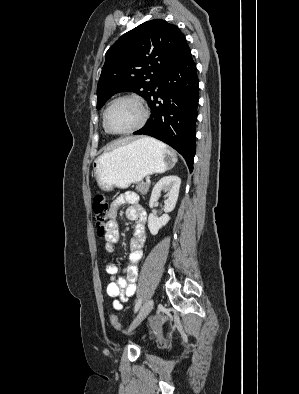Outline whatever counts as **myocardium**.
Wrapping results in <instances>:
<instances>
[{"mask_svg":"<svg viewBox=\"0 0 299 394\" xmlns=\"http://www.w3.org/2000/svg\"><path fill=\"white\" fill-rule=\"evenodd\" d=\"M121 100H129V101L134 102L140 109L141 117H140L139 122L135 126H133L132 128L125 130V131L116 132V131H113L109 128L108 123H107V115H108L110 108L116 102L121 101ZM148 117H149V112H148V110L141 98H139L135 95H121V96L114 98L106 107V109L103 113V126H104L105 130L112 135H128V134H132V133L140 130L146 124Z\"/></svg>","mask_w":299,"mask_h":394,"instance_id":"obj_1","label":"myocardium"}]
</instances>
